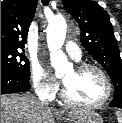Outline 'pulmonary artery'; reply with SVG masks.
Returning <instances> with one entry per match:
<instances>
[{
  "label": "pulmonary artery",
  "mask_w": 122,
  "mask_h": 123,
  "mask_svg": "<svg viewBox=\"0 0 122 123\" xmlns=\"http://www.w3.org/2000/svg\"><path fill=\"white\" fill-rule=\"evenodd\" d=\"M65 50L70 55V57L76 61H79L82 58V52L80 47L72 41L66 42Z\"/></svg>",
  "instance_id": "pulmonary-artery-1"
}]
</instances>
